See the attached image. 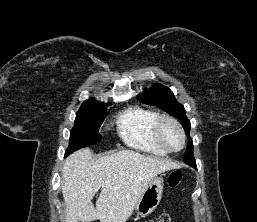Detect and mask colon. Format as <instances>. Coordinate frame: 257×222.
Wrapping results in <instances>:
<instances>
[{"mask_svg":"<svg viewBox=\"0 0 257 222\" xmlns=\"http://www.w3.org/2000/svg\"><path fill=\"white\" fill-rule=\"evenodd\" d=\"M183 174L179 170L172 171L167 178V185L170 188H177L182 182ZM154 222H172L171 216L168 213H162Z\"/></svg>","mask_w":257,"mask_h":222,"instance_id":"obj_1","label":"colon"}]
</instances>
